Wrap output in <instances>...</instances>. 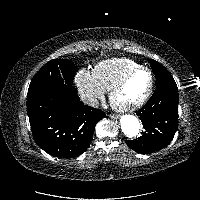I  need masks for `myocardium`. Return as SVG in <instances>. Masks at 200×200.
<instances>
[{"mask_svg": "<svg viewBox=\"0 0 200 200\" xmlns=\"http://www.w3.org/2000/svg\"><path fill=\"white\" fill-rule=\"evenodd\" d=\"M140 71H147L150 75V84L149 87L146 91V93L144 94V96L131 104H125V105H121L115 102V96L116 94L120 91V89L128 82V80L137 72ZM154 85H155V77H154V73L153 71L146 67V66H138L132 70H130L129 72H127L120 80H118L110 89V93H109V99L110 102L112 104V106L117 109L120 112H131L134 111L136 109L141 108L143 105L146 104V102L150 99L153 90H154Z\"/></svg>", "mask_w": 200, "mask_h": 200, "instance_id": "1", "label": "myocardium"}]
</instances>
